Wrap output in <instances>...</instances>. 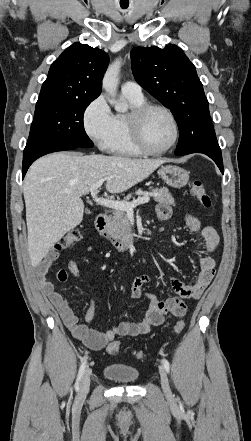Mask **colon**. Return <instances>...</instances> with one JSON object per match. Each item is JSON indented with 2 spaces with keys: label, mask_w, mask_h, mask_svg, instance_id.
<instances>
[{
  "label": "colon",
  "mask_w": 251,
  "mask_h": 441,
  "mask_svg": "<svg viewBox=\"0 0 251 441\" xmlns=\"http://www.w3.org/2000/svg\"><path fill=\"white\" fill-rule=\"evenodd\" d=\"M191 194L199 201L200 205L203 208L209 209L211 207L212 201L207 193L205 187L200 181H195L191 187ZM81 239V233L77 229H73L67 232L55 245V250L66 249L74 244H76ZM58 278L60 280H64L66 278V272L60 271L58 273ZM185 327V323L182 320H179L174 325V333L180 334ZM122 348V344L120 341H113L108 345V352L110 354H118ZM134 354L137 357H142L143 353L141 351H135Z\"/></svg>",
  "instance_id": "colon-1"
}]
</instances>
